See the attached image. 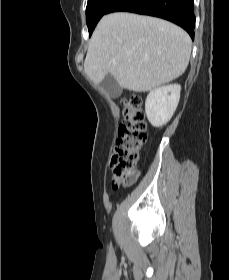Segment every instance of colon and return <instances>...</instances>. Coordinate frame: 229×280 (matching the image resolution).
<instances>
[{"label":"colon","mask_w":229,"mask_h":280,"mask_svg":"<svg viewBox=\"0 0 229 280\" xmlns=\"http://www.w3.org/2000/svg\"><path fill=\"white\" fill-rule=\"evenodd\" d=\"M122 105L124 119L113 147L110 167L114 180L131 185L137 178L139 152L146 143L147 130L141 96H125Z\"/></svg>","instance_id":"1"}]
</instances>
